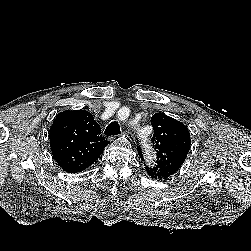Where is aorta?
<instances>
[{
	"label": "aorta",
	"mask_w": 251,
	"mask_h": 251,
	"mask_svg": "<svg viewBox=\"0 0 251 251\" xmlns=\"http://www.w3.org/2000/svg\"><path fill=\"white\" fill-rule=\"evenodd\" d=\"M136 134L138 139L141 141L143 147L145 148V152L148 155V159L153 160V151L151 149V144L149 142L148 134L144 133L142 130L136 129Z\"/></svg>",
	"instance_id": "aorta-1"
}]
</instances>
